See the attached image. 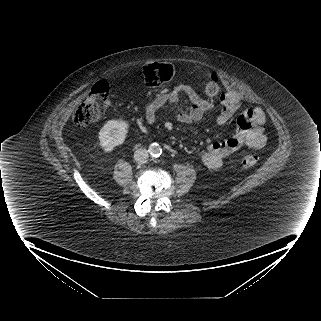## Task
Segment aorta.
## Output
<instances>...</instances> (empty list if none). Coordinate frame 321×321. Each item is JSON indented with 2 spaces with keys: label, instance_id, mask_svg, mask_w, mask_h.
Listing matches in <instances>:
<instances>
[{
  "label": "aorta",
  "instance_id": "762f6f07",
  "mask_svg": "<svg viewBox=\"0 0 321 321\" xmlns=\"http://www.w3.org/2000/svg\"><path fill=\"white\" fill-rule=\"evenodd\" d=\"M148 151L149 153L152 155V156H160L161 153H162V148L160 147L159 144L157 143H153L149 146L148 148Z\"/></svg>",
  "mask_w": 321,
  "mask_h": 321
}]
</instances>
